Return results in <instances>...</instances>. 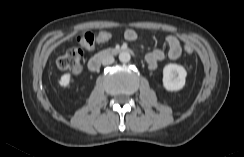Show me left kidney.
Here are the masks:
<instances>
[{"instance_id": "1", "label": "left kidney", "mask_w": 244, "mask_h": 157, "mask_svg": "<svg viewBox=\"0 0 244 157\" xmlns=\"http://www.w3.org/2000/svg\"><path fill=\"white\" fill-rule=\"evenodd\" d=\"M187 71L178 64H167L163 68V87L167 91L181 90L186 82Z\"/></svg>"}]
</instances>
